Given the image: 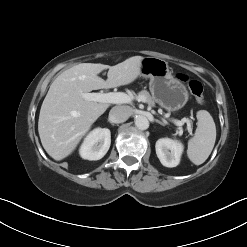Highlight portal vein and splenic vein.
I'll return each instance as SVG.
<instances>
[{
	"instance_id": "obj_1",
	"label": "portal vein and splenic vein",
	"mask_w": 247,
	"mask_h": 247,
	"mask_svg": "<svg viewBox=\"0 0 247 247\" xmlns=\"http://www.w3.org/2000/svg\"><path fill=\"white\" fill-rule=\"evenodd\" d=\"M83 99L88 101H94L99 103H112V104H122L130 103L131 98L123 92H109V93H81ZM187 123V129L189 132L192 131L191 125L187 120H175L177 126H182L184 123ZM180 134L183 133L182 128L180 127Z\"/></svg>"
}]
</instances>
